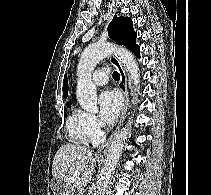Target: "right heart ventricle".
Wrapping results in <instances>:
<instances>
[{"label": "right heart ventricle", "mask_w": 211, "mask_h": 195, "mask_svg": "<svg viewBox=\"0 0 211 195\" xmlns=\"http://www.w3.org/2000/svg\"><path fill=\"white\" fill-rule=\"evenodd\" d=\"M66 128L70 138L77 144H86L88 135L84 128L83 112L77 109H72L66 122Z\"/></svg>", "instance_id": "right-heart-ventricle-1"}]
</instances>
